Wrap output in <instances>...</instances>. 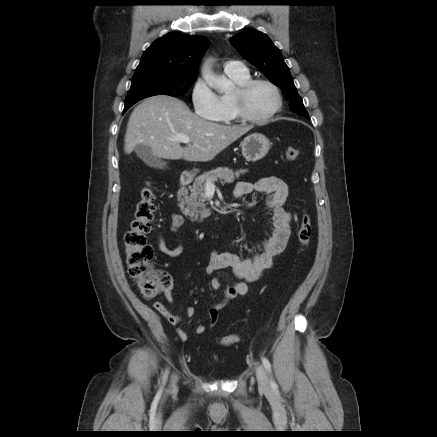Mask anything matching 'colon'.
Returning <instances> with one entry per match:
<instances>
[{"label":"colon","instance_id":"5ec220e1","mask_svg":"<svg viewBox=\"0 0 437 437\" xmlns=\"http://www.w3.org/2000/svg\"><path fill=\"white\" fill-rule=\"evenodd\" d=\"M300 152L297 148L287 147L285 156L288 161L298 159ZM156 211V195L150 184L145 185L136 204L134 218L129 230L124 234L125 258L130 277L146 299L156 297L163 290V273L153 267L154 251L147 242V234L151 231V224ZM312 235V222L307 213L300 219L298 241L303 251L309 244ZM240 337L229 334L222 339V345L231 346Z\"/></svg>","mask_w":437,"mask_h":437}]
</instances>
